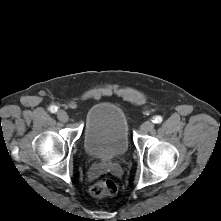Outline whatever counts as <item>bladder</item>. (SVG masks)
<instances>
[{"instance_id":"1","label":"bladder","mask_w":221,"mask_h":221,"mask_svg":"<svg viewBox=\"0 0 221 221\" xmlns=\"http://www.w3.org/2000/svg\"><path fill=\"white\" fill-rule=\"evenodd\" d=\"M83 143L86 153L98 160H111L126 153L129 126L126 114L116 104L101 102L86 115Z\"/></svg>"}]
</instances>
